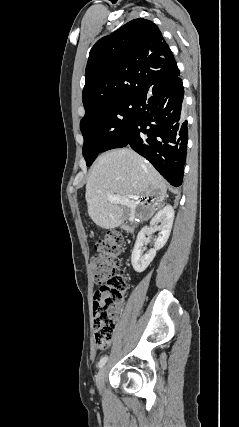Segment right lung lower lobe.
<instances>
[{
	"mask_svg": "<svg viewBox=\"0 0 239 427\" xmlns=\"http://www.w3.org/2000/svg\"><path fill=\"white\" fill-rule=\"evenodd\" d=\"M183 95L179 74L143 90L136 97L129 138L120 146L145 157L175 187L183 181L188 142Z\"/></svg>",
	"mask_w": 239,
	"mask_h": 427,
	"instance_id": "obj_1",
	"label": "right lung lower lobe"
}]
</instances>
